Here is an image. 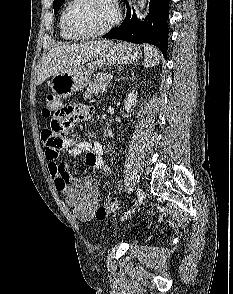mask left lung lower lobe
I'll return each instance as SVG.
<instances>
[{
    "label": "left lung lower lobe",
    "mask_w": 233,
    "mask_h": 294,
    "mask_svg": "<svg viewBox=\"0 0 233 294\" xmlns=\"http://www.w3.org/2000/svg\"><path fill=\"white\" fill-rule=\"evenodd\" d=\"M170 0H150L149 14L144 21L137 19L135 11L131 14L126 2L127 15L122 24L102 36L108 39H119L132 43H149L157 46L164 57L167 56V39Z\"/></svg>",
    "instance_id": "left-lung-lower-lobe-1"
}]
</instances>
